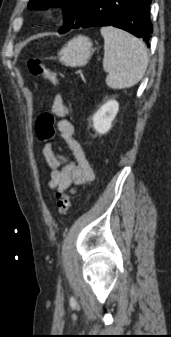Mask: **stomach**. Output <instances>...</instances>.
Masks as SVG:
<instances>
[{
    "label": "stomach",
    "mask_w": 171,
    "mask_h": 337,
    "mask_svg": "<svg viewBox=\"0 0 171 337\" xmlns=\"http://www.w3.org/2000/svg\"><path fill=\"white\" fill-rule=\"evenodd\" d=\"M92 46L89 38L77 36L59 51V61L66 66L82 67L88 63L93 54Z\"/></svg>",
    "instance_id": "obj_1"
}]
</instances>
